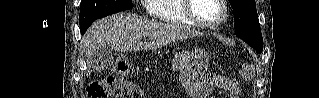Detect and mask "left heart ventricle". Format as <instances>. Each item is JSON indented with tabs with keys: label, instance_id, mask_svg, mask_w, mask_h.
I'll return each mask as SVG.
<instances>
[{
	"label": "left heart ventricle",
	"instance_id": "1",
	"mask_svg": "<svg viewBox=\"0 0 319 98\" xmlns=\"http://www.w3.org/2000/svg\"><path fill=\"white\" fill-rule=\"evenodd\" d=\"M191 9L197 18L207 23L218 21L223 13L218 0H193Z\"/></svg>",
	"mask_w": 319,
	"mask_h": 98
}]
</instances>
